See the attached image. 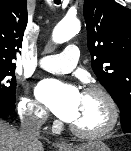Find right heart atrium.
<instances>
[{"mask_svg":"<svg viewBox=\"0 0 131 151\" xmlns=\"http://www.w3.org/2000/svg\"><path fill=\"white\" fill-rule=\"evenodd\" d=\"M20 116L35 124H42L47 117L46 110L35 100L23 95L18 102Z\"/></svg>","mask_w":131,"mask_h":151,"instance_id":"obj_1","label":"right heart atrium"}]
</instances>
